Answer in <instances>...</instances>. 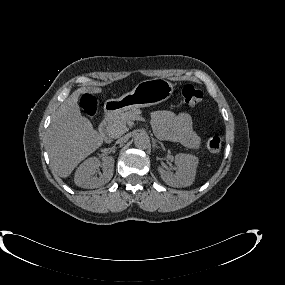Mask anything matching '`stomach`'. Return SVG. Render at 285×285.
Segmentation results:
<instances>
[{"mask_svg": "<svg viewBox=\"0 0 285 285\" xmlns=\"http://www.w3.org/2000/svg\"><path fill=\"white\" fill-rule=\"evenodd\" d=\"M172 83L162 78L145 80L136 85L129 93L104 103L106 114L116 116L124 111L148 107L166 101L173 94Z\"/></svg>", "mask_w": 285, "mask_h": 285, "instance_id": "0dacf381", "label": "stomach"}]
</instances>
